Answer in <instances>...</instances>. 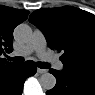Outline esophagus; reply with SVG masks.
Returning <instances> with one entry per match:
<instances>
[{"label":"esophagus","instance_id":"1","mask_svg":"<svg viewBox=\"0 0 95 95\" xmlns=\"http://www.w3.org/2000/svg\"><path fill=\"white\" fill-rule=\"evenodd\" d=\"M37 72H38L39 74H44V73L47 72V70H46V69L38 68V69H37Z\"/></svg>","mask_w":95,"mask_h":95}]
</instances>
